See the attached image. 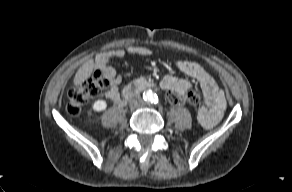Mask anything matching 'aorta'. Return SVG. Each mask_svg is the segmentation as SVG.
<instances>
[{
  "label": "aorta",
  "instance_id": "762f6f07",
  "mask_svg": "<svg viewBox=\"0 0 292 192\" xmlns=\"http://www.w3.org/2000/svg\"><path fill=\"white\" fill-rule=\"evenodd\" d=\"M143 97L146 101L153 102L156 99V94L152 90H147L143 94Z\"/></svg>",
  "mask_w": 292,
  "mask_h": 192
}]
</instances>
